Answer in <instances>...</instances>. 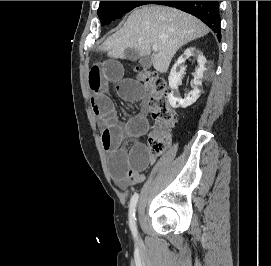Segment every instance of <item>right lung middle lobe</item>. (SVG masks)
<instances>
[{
    "instance_id": "1",
    "label": "right lung middle lobe",
    "mask_w": 271,
    "mask_h": 266,
    "mask_svg": "<svg viewBox=\"0 0 271 266\" xmlns=\"http://www.w3.org/2000/svg\"><path fill=\"white\" fill-rule=\"evenodd\" d=\"M152 1H101L98 16L104 26L113 20L121 18L135 7L150 4Z\"/></svg>"
}]
</instances>
